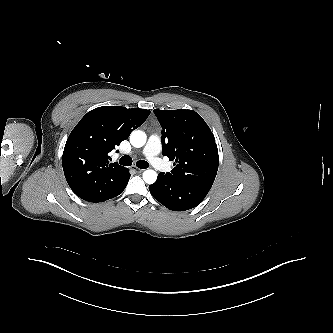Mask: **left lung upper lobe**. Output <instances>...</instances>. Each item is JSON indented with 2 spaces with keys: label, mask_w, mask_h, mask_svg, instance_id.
<instances>
[{
  "label": "left lung upper lobe",
  "mask_w": 333,
  "mask_h": 333,
  "mask_svg": "<svg viewBox=\"0 0 333 333\" xmlns=\"http://www.w3.org/2000/svg\"><path fill=\"white\" fill-rule=\"evenodd\" d=\"M162 127V154L174 161L171 173L180 183L210 189L219 156L213 133L193 110H154Z\"/></svg>",
  "instance_id": "1"
}]
</instances>
